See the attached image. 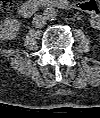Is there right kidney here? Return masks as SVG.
I'll list each match as a JSON object with an SVG mask.
<instances>
[{
    "label": "right kidney",
    "instance_id": "ca27d5eb",
    "mask_svg": "<svg viewBox=\"0 0 100 118\" xmlns=\"http://www.w3.org/2000/svg\"><path fill=\"white\" fill-rule=\"evenodd\" d=\"M20 29V22L16 19H5L0 25V38L2 40L14 39Z\"/></svg>",
    "mask_w": 100,
    "mask_h": 118
}]
</instances>
